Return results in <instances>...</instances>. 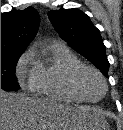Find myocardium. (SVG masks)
Wrapping results in <instances>:
<instances>
[{"instance_id":"f54148a6","label":"myocardium","mask_w":123,"mask_h":130,"mask_svg":"<svg viewBox=\"0 0 123 130\" xmlns=\"http://www.w3.org/2000/svg\"><path fill=\"white\" fill-rule=\"evenodd\" d=\"M87 73L95 75L102 85V92L96 98L90 97L84 88L83 79ZM68 81L73 92L81 99L88 102H96L100 100L107 90V83L102 73L97 68L86 64H80L73 67L69 72Z\"/></svg>"}]
</instances>
